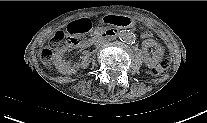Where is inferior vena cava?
<instances>
[{"instance_id":"602c4592","label":"inferior vena cava","mask_w":207,"mask_h":123,"mask_svg":"<svg viewBox=\"0 0 207 123\" xmlns=\"http://www.w3.org/2000/svg\"><path fill=\"white\" fill-rule=\"evenodd\" d=\"M97 45L98 46H103V47L107 46L108 45V41L105 40V39H101Z\"/></svg>"}]
</instances>
